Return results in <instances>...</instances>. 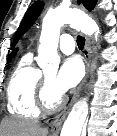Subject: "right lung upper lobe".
Masks as SVG:
<instances>
[{"label":"right lung upper lobe","mask_w":117,"mask_h":136,"mask_svg":"<svg viewBox=\"0 0 117 136\" xmlns=\"http://www.w3.org/2000/svg\"><path fill=\"white\" fill-rule=\"evenodd\" d=\"M15 54H16V50H15L12 54H10V56H9V59H8V60H11V58H12Z\"/></svg>","instance_id":"cb5924a9"}]
</instances>
